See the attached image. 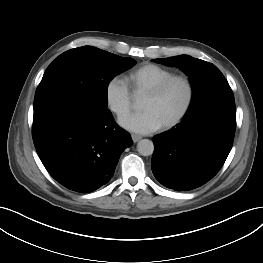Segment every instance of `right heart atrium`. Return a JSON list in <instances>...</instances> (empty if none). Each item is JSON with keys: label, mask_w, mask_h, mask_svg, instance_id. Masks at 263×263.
<instances>
[{"label": "right heart atrium", "mask_w": 263, "mask_h": 263, "mask_svg": "<svg viewBox=\"0 0 263 263\" xmlns=\"http://www.w3.org/2000/svg\"><path fill=\"white\" fill-rule=\"evenodd\" d=\"M104 99L107 108L117 118L124 117L131 109V93L120 77L115 76L107 81L104 88Z\"/></svg>", "instance_id": "1"}]
</instances>
